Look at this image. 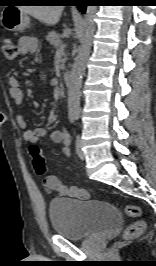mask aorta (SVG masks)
I'll use <instances>...</instances> for the list:
<instances>
[{
	"label": "aorta",
	"instance_id": "1",
	"mask_svg": "<svg viewBox=\"0 0 156 266\" xmlns=\"http://www.w3.org/2000/svg\"><path fill=\"white\" fill-rule=\"evenodd\" d=\"M96 13L95 6H88L86 10L84 20V36L80 46L78 55L73 64L69 81L67 84L68 88V114L71 117H78L80 114V89L82 85V77L85 73L86 63L88 61L92 38L95 31L94 17Z\"/></svg>",
	"mask_w": 156,
	"mask_h": 266
}]
</instances>
